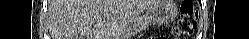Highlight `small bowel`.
<instances>
[{
	"mask_svg": "<svg viewBox=\"0 0 249 39\" xmlns=\"http://www.w3.org/2000/svg\"><path fill=\"white\" fill-rule=\"evenodd\" d=\"M153 39H162L161 37H154Z\"/></svg>",
	"mask_w": 249,
	"mask_h": 39,
	"instance_id": "obj_1",
	"label": "small bowel"
}]
</instances>
